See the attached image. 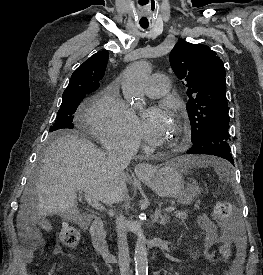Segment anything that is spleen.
<instances>
[{
	"instance_id": "obj_1",
	"label": "spleen",
	"mask_w": 263,
	"mask_h": 275,
	"mask_svg": "<svg viewBox=\"0 0 263 275\" xmlns=\"http://www.w3.org/2000/svg\"><path fill=\"white\" fill-rule=\"evenodd\" d=\"M192 166L207 167L212 166L215 172L218 174L221 180H226L227 182H232V167L231 165L219 159H192L190 157H185L181 162H178L177 167L184 173L188 171Z\"/></svg>"
}]
</instances>
